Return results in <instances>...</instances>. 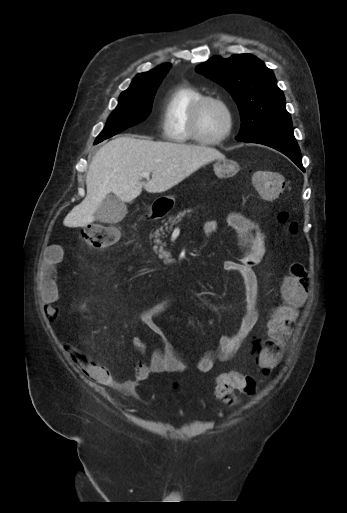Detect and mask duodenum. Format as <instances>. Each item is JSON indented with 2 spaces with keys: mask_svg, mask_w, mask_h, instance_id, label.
<instances>
[{
  "mask_svg": "<svg viewBox=\"0 0 347 513\" xmlns=\"http://www.w3.org/2000/svg\"><path fill=\"white\" fill-rule=\"evenodd\" d=\"M165 212H166V206L160 201H155L152 204L151 209L143 216V220L150 221L154 218L162 216Z\"/></svg>",
  "mask_w": 347,
  "mask_h": 513,
  "instance_id": "obj_1",
  "label": "duodenum"
}]
</instances>
